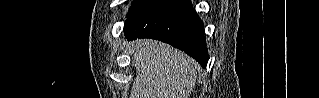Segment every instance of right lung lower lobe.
<instances>
[{
  "instance_id": "98d812e1",
  "label": "right lung lower lobe",
  "mask_w": 319,
  "mask_h": 98,
  "mask_svg": "<svg viewBox=\"0 0 319 98\" xmlns=\"http://www.w3.org/2000/svg\"><path fill=\"white\" fill-rule=\"evenodd\" d=\"M124 32L128 40L166 42L192 56L203 68L207 65L204 25L189 0H151L129 16Z\"/></svg>"
}]
</instances>
